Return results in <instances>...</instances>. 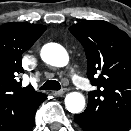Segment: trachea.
Masks as SVG:
<instances>
[{"mask_svg": "<svg viewBox=\"0 0 131 131\" xmlns=\"http://www.w3.org/2000/svg\"><path fill=\"white\" fill-rule=\"evenodd\" d=\"M61 85L56 80H50L45 82L39 89L41 90H60Z\"/></svg>", "mask_w": 131, "mask_h": 131, "instance_id": "1", "label": "trachea"}]
</instances>
